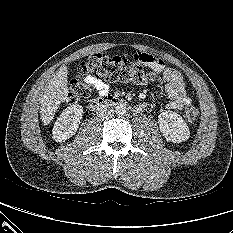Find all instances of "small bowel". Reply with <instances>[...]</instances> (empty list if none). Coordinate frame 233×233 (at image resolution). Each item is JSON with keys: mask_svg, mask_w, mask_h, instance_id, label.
I'll return each instance as SVG.
<instances>
[{"mask_svg": "<svg viewBox=\"0 0 233 233\" xmlns=\"http://www.w3.org/2000/svg\"><path fill=\"white\" fill-rule=\"evenodd\" d=\"M137 56L141 58L145 66L161 74V79L164 82V90L170 98L167 104L168 109L181 110L184 106L191 103V99L188 97L185 90L183 77L178 71L172 68H165L164 62L152 55L140 53ZM85 82H87L101 97L105 96L109 91V86L96 77L87 76ZM137 109L140 110L142 107Z\"/></svg>", "mask_w": 233, "mask_h": 233, "instance_id": "obj_1", "label": "small bowel"}]
</instances>
